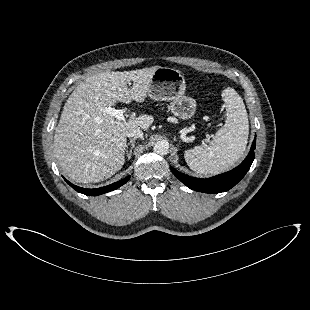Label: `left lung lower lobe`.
<instances>
[{
    "label": "left lung lower lobe",
    "mask_w": 310,
    "mask_h": 310,
    "mask_svg": "<svg viewBox=\"0 0 310 310\" xmlns=\"http://www.w3.org/2000/svg\"><path fill=\"white\" fill-rule=\"evenodd\" d=\"M255 146H256V138L252 143L249 154L239 166H237L236 168H234L229 172L211 178L207 179L194 178L177 171L173 167L170 168L172 173L181 182H183L187 187H189L192 190L210 194L225 192L231 189L233 186H235L249 170L255 157V154L253 152Z\"/></svg>",
    "instance_id": "0a47b994"
}]
</instances>
